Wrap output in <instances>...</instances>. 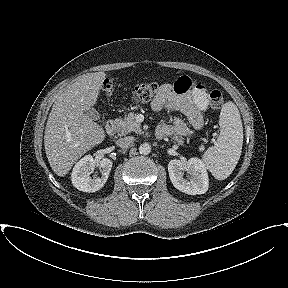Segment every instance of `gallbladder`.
Listing matches in <instances>:
<instances>
[{
	"instance_id": "obj_1",
	"label": "gallbladder",
	"mask_w": 288,
	"mask_h": 288,
	"mask_svg": "<svg viewBox=\"0 0 288 288\" xmlns=\"http://www.w3.org/2000/svg\"><path fill=\"white\" fill-rule=\"evenodd\" d=\"M92 120H98L100 118V114L94 108H90L85 112Z\"/></svg>"
}]
</instances>
